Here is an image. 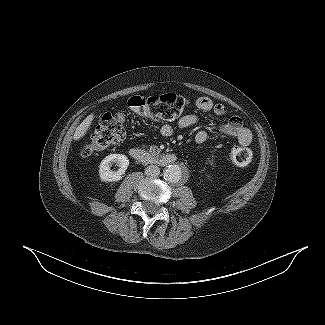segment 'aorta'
<instances>
[{"label":"aorta","instance_id":"1","mask_svg":"<svg viewBox=\"0 0 325 325\" xmlns=\"http://www.w3.org/2000/svg\"><path fill=\"white\" fill-rule=\"evenodd\" d=\"M164 178L165 180L171 182V183H177L181 181L183 177V171L182 168L179 165H169L164 170Z\"/></svg>","mask_w":325,"mask_h":325}]
</instances>
